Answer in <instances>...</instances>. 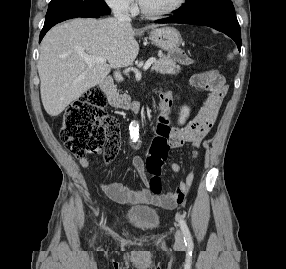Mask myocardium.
<instances>
[{"mask_svg": "<svg viewBox=\"0 0 286 269\" xmlns=\"http://www.w3.org/2000/svg\"><path fill=\"white\" fill-rule=\"evenodd\" d=\"M185 1L186 0H177L171 7L165 10H162V11H149L148 9L144 7L141 0H138V5H139L140 12L144 16L149 17V18H160V17L170 15L176 12L177 10H179L184 5Z\"/></svg>", "mask_w": 286, "mask_h": 269, "instance_id": "obj_1", "label": "myocardium"}]
</instances>
